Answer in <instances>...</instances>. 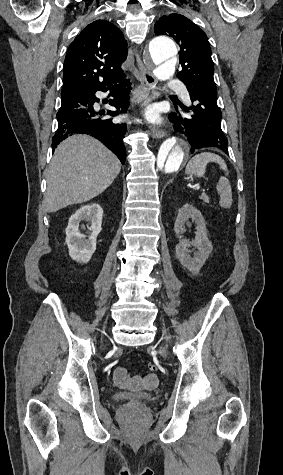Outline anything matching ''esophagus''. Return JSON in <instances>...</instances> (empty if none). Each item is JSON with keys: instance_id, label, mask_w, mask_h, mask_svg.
Segmentation results:
<instances>
[{"instance_id": "1", "label": "esophagus", "mask_w": 283, "mask_h": 475, "mask_svg": "<svg viewBox=\"0 0 283 475\" xmlns=\"http://www.w3.org/2000/svg\"><path fill=\"white\" fill-rule=\"evenodd\" d=\"M136 62L139 70L138 79L140 80V85L137 87L136 91L140 93L142 97L139 98L140 101H143V105L146 106L150 101V96L156 95V86L157 79L154 75L145 67L143 64L138 51L136 50ZM153 138H163L166 135V131L162 128L153 127L151 131Z\"/></svg>"}]
</instances>
